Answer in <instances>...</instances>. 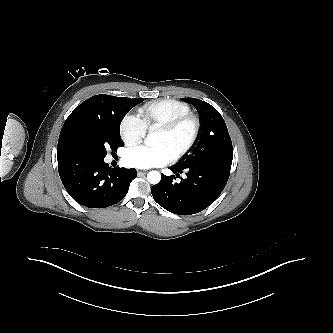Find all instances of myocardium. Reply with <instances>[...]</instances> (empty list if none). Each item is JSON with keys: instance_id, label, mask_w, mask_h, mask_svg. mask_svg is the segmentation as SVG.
I'll return each mask as SVG.
<instances>
[{"instance_id": "f54148a6", "label": "myocardium", "mask_w": 333, "mask_h": 333, "mask_svg": "<svg viewBox=\"0 0 333 333\" xmlns=\"http://www.w3.org/2000/svg\"><path fill=\"white\" fill-rule=\"evenodd\" d=\"M185 124L191 125V134L187 142L172 155L173 161L179 160L180 158L185 156L196 143L201 129L200 118L197 115L189 112L158 127L159 131H162L166 134H173Z\"/></svg>"}]
</instances>
